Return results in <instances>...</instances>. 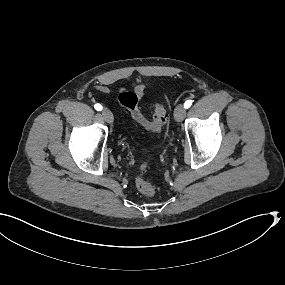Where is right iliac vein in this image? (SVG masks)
I'll use <instances>...</instances> for the list:
<instances>
[{
  "label": "right iliac vein",
  "instance_id": "63e3f726",
  "mask_svg": "<svg viewBox=\"0 0 285 285\" xmlns=\"http://www.w3.org/2000/svg\"><path fill=\"white\" fill-rule=\"evenodd\" d=\"M102 116L104 117V119L107 122H109V123L113 122V115H112V113L108 109L104 108L102 110Z\"/></svg>",
  "mask_w": 285,
  "mask_h": 285
}]
</instances>
